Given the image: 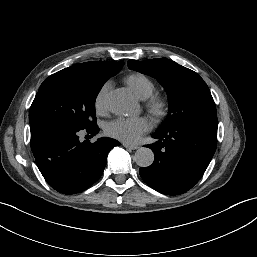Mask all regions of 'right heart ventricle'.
<instances>
[{"instance_id": "obj_1", "label": "right heart ventricle", "mask_w": 257, "mask_h": 257, "mask_svg": "<svg viewBox=\"0 0 257 257\" xmlns=\"http://www.w3.org/2000/svg\"><path fill=\"white\" fill-rule=\"evenodd\" d=\"M125 81L139 99H147L154 93L153 82L143 74L129 75Z\"/></svg>"}]
</instances>
